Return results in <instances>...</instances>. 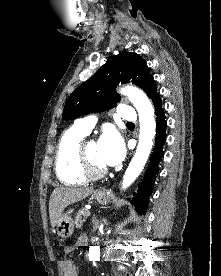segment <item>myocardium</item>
I'll return each mask as SVG.
<instances>
[{
	"label": "myocardium",
	"mask_w": 221,
	"mask_h": 276,
	"mask_svg": "<svg viewBox=\"0 0 221 276\" xmlns=\"http://www.w3.org/2000/svg\"><path fill=\"white\" fill-rule=\"evenodd\" d=\"M90 142V140H82V142L79 145V159H80V165L82 168V171L84 175L89 179H99L104 177L108 173V169H97L90 161L86 146Z\"/></svg>",
	"instance_id": "obj_1"
}]
</instances>
